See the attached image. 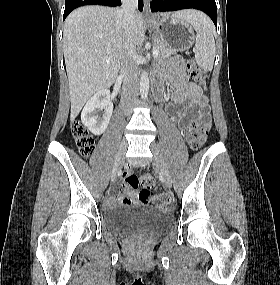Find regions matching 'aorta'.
Here are the masks:
<instances>
[{
    "mask_svg": "<svg viewBox=\"0 0 280 285\" xmlns=\"http://www.w3.org/2000/svg\"><path fill=\"white\" fill-rule=\"evenodd\" d=\"M149 92V76L147 71L143 70L140 75V95L143 100L147 99Z\"/></svg>",
    "mask_w": 280,
    "mask_h": 285,
    "instance_id": "762f6f07",
    "label": "aorta"
}]
</instances>
